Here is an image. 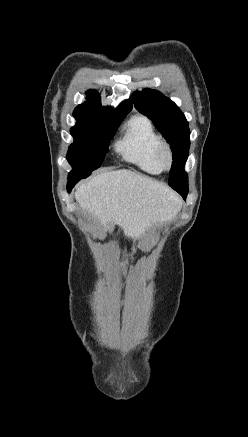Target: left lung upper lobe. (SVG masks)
<instances>
[{"label":"left lung upper lobe","instance_id":"1","mask_svg":"<svg viewBox=\"0 0 248 437\" xmlns=\"http://www.w3.org/2000/svg\"><path fill=\"white\" fill-rule=\"evenodd\" d=\"M136 109L150 118L169 142L173 151L169 185L181 195L188 193L184 171L190 146V131L184 114L169 98L155 90L143 89L133 94Z\"/></svg>","mask_w":248,"mask_h":437}]
</instances>
